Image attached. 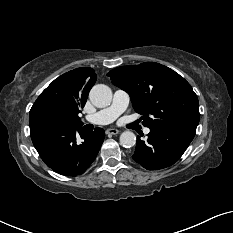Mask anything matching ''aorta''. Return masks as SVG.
<instances>
[{"label":"aorta","instance_id":"1","mask_svg":"<svg viewBox=\"0 0 233 233\" xmlns=\"http://www.w3.org/2000/svg\"><path fill=\"white\" fill-rule=\"evenodd\" d=\"M89 98L93 105L99 108L110 105L112 101V91L104 84L94 85L89 93ZM120 144L123 147L130 148L136 144V136L131 131H124L120 135Z\"/></svg>","mask_w":233,"mask_h":233}]
</instances>
